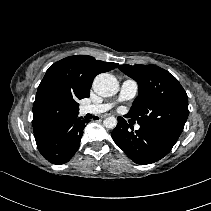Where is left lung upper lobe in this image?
I'll return each instance as SVG.
<instances>
[{
    "mask_svg": "<svg viewBox=\"0 0 211 211\" xmlns=\"http://www.w3.org/2000/svg\"><path fill=\"white\" fill-rule=\"evenodd\" d=\"M138 83L139 95L126 115L176 143L187 120L188 96L178 80L155 65H120Z\"/></svg>",
    "mask_w": 211,
    "mask_h": 211,
    "instance_id": "1",
    "label": "left lung upper lobe"
}]
</instances>
